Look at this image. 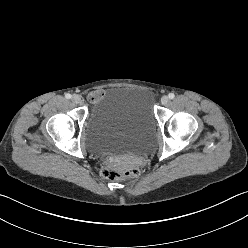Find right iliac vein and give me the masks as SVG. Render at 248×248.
Masks as SVG:
<instances>
[{"label": "right iliac vein", "mask_w": 248, "mask_h": 248, "mask_svg": "<svg viewBox=\"0 0 248 248\" xmlns=\"http://www.w3.org/2000/svg\"><path fill=\"white\" fill-rule=\"evenodd\" d=\"M71 100L73 103L75 104H79L81 102V97L77 94H74L72 97H71Z\"/></svg>", "instance_id": "right-iliac-vein-1"}]
</instances>
